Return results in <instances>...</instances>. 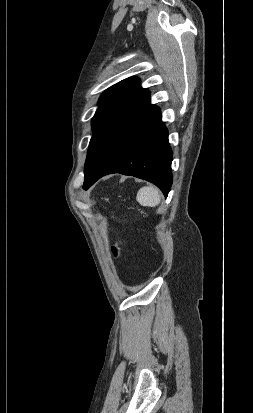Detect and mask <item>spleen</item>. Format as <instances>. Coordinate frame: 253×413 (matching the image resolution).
I'll return each instance as SVG.
<instances>
[{"instance_id": "3e777b00", "label": "spleen", "mask_w": 253, "mask_h": 413, "mask_svg": "<svg viewBox=\"0 0 253 413\" xmlns=\"http://www.w3.org/2000/svg\"><path fill=\"white\" fill-rule=\"evenodd\" d=\"M136 199L142 206L156 207L160 203L161 193L154 186H145L138 191Z\"/></svg>"}]
</instances>
